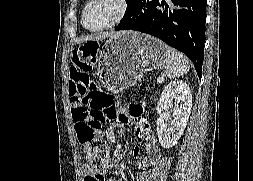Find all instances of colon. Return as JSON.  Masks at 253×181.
Listing matches in <instances>:
<instances>
[{
	"mask_svg": "<svg viewBox=\"0 0 253 181\" xmlns=\"http://www.w3.org/2000/svg\"><path fill=\"white\" fill-rule=\"evenodd\" d=\"M100 41L89 38L83 41L80 49L73 52L74 59L98 55ZM73 117L78 142L87 152V164L90 167H104L108 161V149L103 139V125L116 114V100L111 94L100 90L95 83L83 95L72 99ZM91 178V177H89Z\"/></svg>",
	"mask_w": 253,
	"mask_h": 181,
	"instance_id": "1",
	"label": "colon"
}]
</instances>
